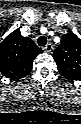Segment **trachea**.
Here are the masks:
<instances>
[{"label":"trachea","mask_w":81,"mask_h":124,"mask_svg":"<svg viewBox=\"0 0 81 124\" xmlns=\"http://www.w3.org/2000/svg\"><path fill=\"white\" fill-rule=\"evenodd\" d=\"M37 43L39 46L43 47L47 43V38L45 36H41L38 38Z\"/></svg>","instance_id":"3493384b"}]
</instances>
